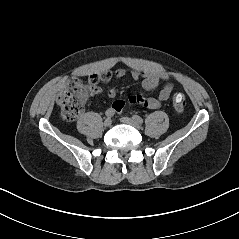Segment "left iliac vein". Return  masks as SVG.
Instances as JSON below:
<instances>
[{
  "label": "left iliac vein",
  "instance_id": "left-iliac-vein-1",
  "mask_svg": "<svg viewBox=\"0 0 239 239\" xmlns=\"http://www.w3.org/2000/svg\"><path fill=\"white\" fill-rule=\"evenodd\" d=\"M120 121L125 123V124H129L137 129H140L141 128V125L140 123L136 122L134 119L132 118H129V117H121L120 118Z\"/></svg>",
  "mask_w": 239,
  "mask_h": 239
}]
</instances>
